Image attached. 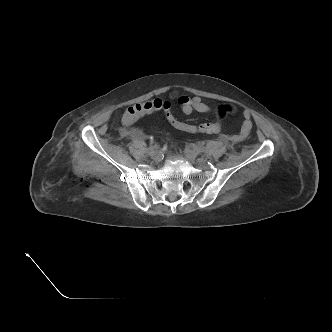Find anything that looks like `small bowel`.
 I'll return each instance as SVG.
<instances>
[{"instance_id": "1", "label": "small bowel", "mask_w": 332, "mask_h": 332, "mask_svg": "<svg viewBox=\"0 0 332 332\" xmlns=\"http://www.w3.org/2000/svg\"><path fill=\"white\" fill-rule=\"evenodd\" d=\"M178 103L183 114L190 115L193 112L208 113L211 111V107L206 104L199 96H186L182 95L178 97ZM252 129L251 115L248 111L243 113V121L240 128V132L237 136L238 140L245 139Z\"/></svg>"}]
</instances>
